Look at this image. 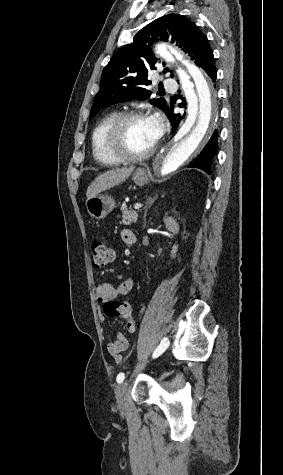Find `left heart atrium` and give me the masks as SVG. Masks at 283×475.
Returning a JSON list of instances; mask_svg holds the SVG:
<instances>
[{
    "mask_svg": "<svg viewBox=\"0 0 283 475\" xmlns=\"http://www.w3.org/2000/svg\"><path fill=\"white\" fill-rule=\"evenodd\" d=\"M150 122L152 124V127L154 129V137L158 140L162 133H163V121L161 116L158 113L153 114L150 117Z\"/></svg>",
    "mask_w": 283,
    "mask_h": 475,
    "instance_id": "39dd6f15",
    "label": "left heart atrium"
}]
</instances>
